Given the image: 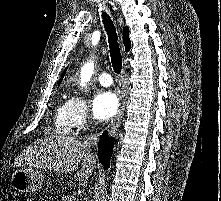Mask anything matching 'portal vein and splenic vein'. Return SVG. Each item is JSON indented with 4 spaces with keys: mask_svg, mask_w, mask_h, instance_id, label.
I'll return each mask as SVG.
<instances>
[{
    "mask_svg": "<svg viewBox=\"0 0 221 201\" xmlns=\"http://www.w3.org/2000/svg\"><path fill=\"white\" fill-rule=\"evenodd\" d=\"M68 200H69V201H74V200H75V197H74V196H70V197H68Z\"/></svg>",
    "mask_w": 221,
    "mask_h": 201,
    "instance_id": "18ae733b",
    "label": "portal vein and splenic vein"
}]
</instances>
